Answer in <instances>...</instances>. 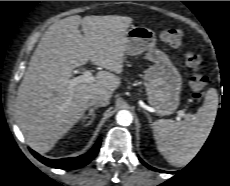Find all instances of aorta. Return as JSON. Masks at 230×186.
I'll return each mask as SVG.
<instances>
[{"label":"aorta","mask_w":230,"mask_h":186,"mask_svg":"<svg viewBox=\"0 0 230 186\" xmlns=\"http://www.w3.org/2000/svg\"><path fill=\"white\" fill-rule=\"evenodd\" d=\"M116 121L122 126H129L133 121V116L128 110H120L116 115Z\"/></svg>","instance_id":"1"}]
</instances>
